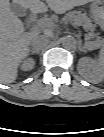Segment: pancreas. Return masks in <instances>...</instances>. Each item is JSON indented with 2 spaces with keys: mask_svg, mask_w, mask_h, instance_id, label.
Wrapping results in <instances>:
<instances>
[{
  "mask_svg": "<svg viewBox=\"0 0 104 137\" xmlns=\"http://www.w3.org/2000/svg\"><path fill=\"white\" fill-rule=\"evenodd\" d=\"M63 21L65 23L71 22L76 25H84L86 28H92L93 24L91 20L87 18L85 14L81 12L72 11L64 16ZM87 46L91 48H97L99 46L98 42H87Z\"/></svg>",
  "mask_w": 104,
  "mask_h": 137,
  "instance_id": "1",
  "label": "pancreas"
}]
</instances>
